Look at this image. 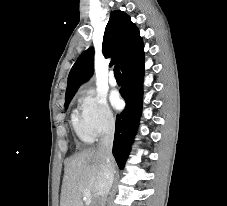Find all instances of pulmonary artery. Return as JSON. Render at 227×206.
Returning a JSON list of instances; mask_svg holds the SVG:
<instances>
[{
	"mask_svg": "<svg viewBox=\"0 0 227 206\" xmlns=\"http://www.w3.org/2000/svg\"><path fill=\"white\" fill-rule=\"evenodd\" d=\"M109 84L111 86H116L117 85V80L114 77L113 73H111L110 76H109Z\"/></svg>",
	"mask_w": 227,
	"mask_h": 206,
	"instance_id": "e3ab8cb5",
	"label": "pulmonary artery"
}]
</instances>
